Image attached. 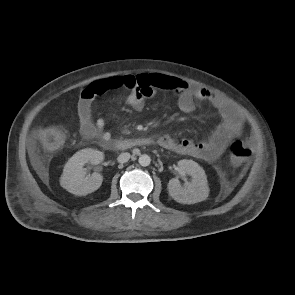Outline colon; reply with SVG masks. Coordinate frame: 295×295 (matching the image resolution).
<instances>
[{
  "mask_svg": "<svg viewBox=\"0 0 295 295\" xmlns=\"http://www.w3.org/2000/svg\"><path fill=\"white\" fill-rule=\"evenodd\" d=\"M37 137L42 146L49 151L59 149L64 143V134L57 128L42 129ZM229 153L231 162L236 166H244L252 155L251 149L238 140L231 143Z\"/></svg>",
  "mask_w": 295,
  "mask_h": 295,
  "instance_id": "1",
  "label": "colon"
}]
</instances>
